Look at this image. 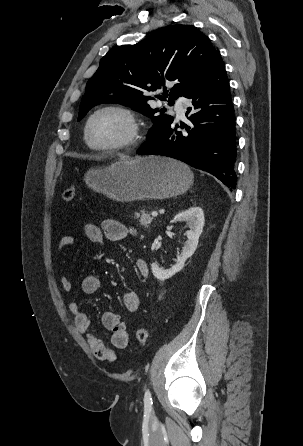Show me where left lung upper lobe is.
Instances as JSON below:
<instances>
[{
    "instance_id": "obj_1",
    "label": "left lung upper lobe",
    "mask_w": 303,
    "mask_h": 446,
    "mask_svg": "<svg viewBox=\"0 0 303 446\" xmlns=\"http://www.w3.org/2000/svg\"><path fill=\"white\" fill-rule=\"evenodd\" d=\"M219 52L209 38L191 25H173L157 30L135 45L114 47L101 59L88 80L78 120L100 103H118L150 117L154 123L148 142L173 122L165 110L152 109L146 91L164 89L172 81L168 104L183 96L209 69ZM159 99L166 101L162 96Z\"/></svg>"
}]
</instances>
